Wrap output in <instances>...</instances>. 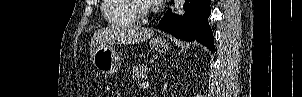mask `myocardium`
Segmentation results:
<instances>
[{
  "label": "myocardium",
  "instance_id": "f54148a6",
  "mask_svg": "<svg viewBox=\"0 0 302 97\" xmlns=\"http://www.w3.org/2000/svg\"><path fill=\"white\" fill-rule=\"evenodd\" d=\"M141 0H130L129 6L133 14L140 20L146 18L153 13L156 7L152 4H141Z\"/></svg>",
  "mask_w": 302,
  "mask_h": 97
}]
</instances>
